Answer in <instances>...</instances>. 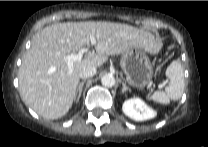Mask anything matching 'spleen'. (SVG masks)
Listing matches in <instances>:
<instances>
[{
    "label": "spleen",
    "mask_w": 208,
    "mask_h": 147,
    "mask_svg": "<svg viewBox=\"0 0 208 147\" xmlns=\"http://www.w3.org/2000/svg\"><path fill=\"white\" fill-rule=\"evenodd\" d=\"M166 76L169 79V85L165 91H156L151 96L154 102L160 104H169L170 100H178L184 92V73L179 61H172L166 69Z\"/></svg>",
    "instance_id": "1"
}]
</instances>
